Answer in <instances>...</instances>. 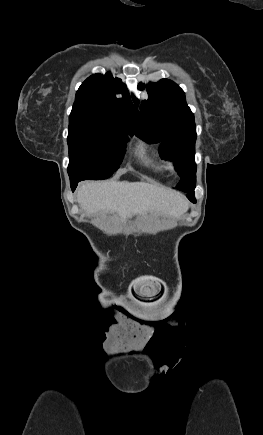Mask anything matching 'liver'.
<instances>
[{"label": "liver", "instance_id": "obj_1", "mask_svg": "<svg viewBox=\"0 0 263 435\" xmlns=\"http://www.w3.org/2000/svg\"><path fill=\"white\" fill-rule=\"evenodd\" d=\"M77 201L88 214L117 212L123 221L153 211L178 217L188 210L181 194L145 182H85L78 188Z\"/></svg>", "mask_w": 263, "mask_h": 435}]
</instances>
